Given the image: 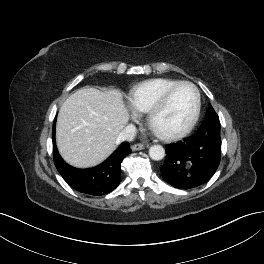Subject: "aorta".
Wrapping results in <instances>:
<instances>
[{"label":"aorta","mask_w":264,"mask_h":264,"mask_svg":"<svg viewBox=\"0 0 264 264\" xmlns=\"http://www.w3.org/2000/svg\"><path fill=\"white\" fill-rule=\"evenodd\" d=\"M149 156L156 161L165 157V149L161 145H153L149 149Z\"/></svg>","instance_id":"762f6f07"}]
</instances>
